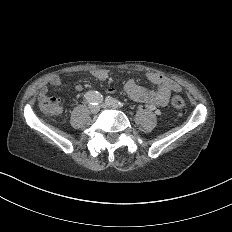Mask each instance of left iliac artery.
<instances>
[{
    "instance_id": "44dca946",
    "label": "left iliac artery",
    "mask_w": 232,
    "mask_h": 232,
    "mask_svg": "<svg viewBox=\"0 0 232 232\" xmlns=\"http://www.w3.org/2000/svg\"><path fill=\"white\" fill-rule=\"evenodd\" d=\"M106 105L113 107V108H123L125 104L120 102L112 97H107L105 100Z\"/></svg>"
}]
</instances>
